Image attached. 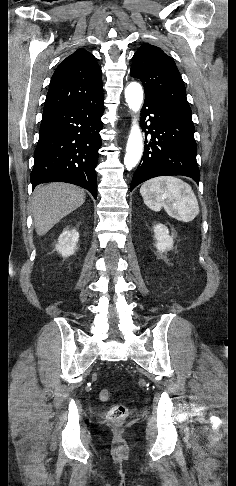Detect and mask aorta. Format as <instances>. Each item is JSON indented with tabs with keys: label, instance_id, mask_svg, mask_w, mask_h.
Returning <instances> with one entry per match:
<instances>
[{
	"label": "aorta",
	"instance_id": "obj_1",
	"mask_svg": "<svg viewBox=\"0 0 236 486\" xmlns=\"http://www.w3.org/2000/svg\"><path fill=\"white\" fill-rule=\"evenodd\" d=\"M125 99L129 108L139 112L143 102V90L139 83L131 82L125 89ZM143 152V138L136 118L133 121L126 146L124 164L128 170L134 168L141 159Z\"/></svg>",
	"mask_w": 236,
	"mask_h": 486
}]
</instances>
